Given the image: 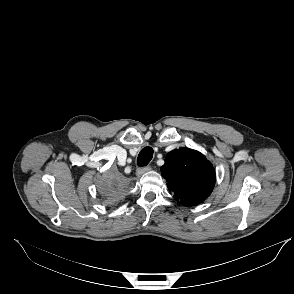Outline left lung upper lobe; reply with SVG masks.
<instances>
[{"instance_id":"left-lung-upper-lobe-1","label":"left lung upper lobe","mask_w":294,"mask_h":294,"mask_svg":"<svg viewBox=\"0 0 294 294\" xmlns=\"http://www.w3.org/2000/svg\"><path fill=\"white\" fill-rule=\"evenodd\" d=\"M161 172L174 198L185 206L203 202L215 185L212 164L200 152L188 148L171 151Z\"/></svg>"}]
</instances>
